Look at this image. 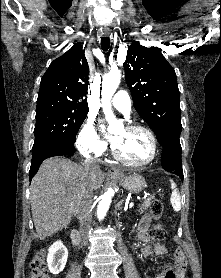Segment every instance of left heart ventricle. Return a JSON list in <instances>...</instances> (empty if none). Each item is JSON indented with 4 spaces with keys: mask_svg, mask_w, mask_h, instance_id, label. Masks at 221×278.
Wrapping results in <instances>:
<instances>
[{
    "mask_svg": "<svg viewBox=\"0 0 221 278\" xmlns=\"http://www.w3.org/2000/svg\"><path fill=\"white\" fill-rule=\"evenodd\" d=\"M115 135L118 137V142L115 144V147L129 161L143 162L150 157L151 142L145 133L129 131L122 128Z\"/></svg>",
    "mask_w": 221,
    "mask_h": 278,
    "instance_id": "obj_1",
    "label": "left heart ventricle"
}]
</instances>
